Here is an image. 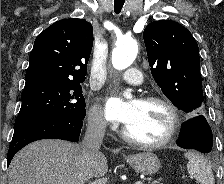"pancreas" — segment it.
<instances>
[{"instance_id":"obj_1","label":"pancreas","mask_w":224,"mask_h":184,"mask_svg":"<svg viewBox=\"0 0 224 184\" xmlns=\"http://www.w3.org/2000/svg\"><path fill=\"white\" fill-rule=\"evenodd\" d=\"M149 184H160L159 181H152V182H149ZM163 184V183H161Z\"/></svg>"}]
</instances>
